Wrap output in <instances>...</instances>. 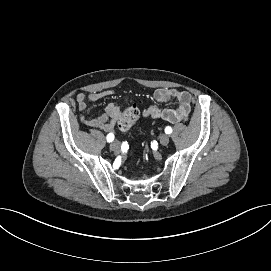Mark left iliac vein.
Segmentation results:
<instances>
[{"label": "left iliac vein", "instance_id": "left-iliac-vein-1", "mask_svg": "<svg viewBox=\"0 0 271 271\" xmlns=\"http://www.w3.org/2000/svg\"><path fill=\"white\" fill-rule=\"evenodd\" d=\"M161 145L166 146L169 143V137L166 134H163L159 137Z\"/></svg>", "mask_w": 271, "mask_h": 271}]
</instances>
